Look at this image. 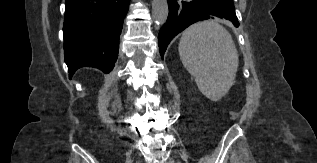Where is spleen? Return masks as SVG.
Masks as SVG:
<instances>
[{
	"mask_svg": "<svg viewBox=\"0 0 317 163\" xmlns=\"http://www.w3.org/2000/svg\"><path fill=\"white\" fill-rule=\"evenodd\" d=\"M179 56L208 99L218 101L232 86L239 58L229 32L214 20L187 28L179 43Z\"/></svg>",
	"mask_w": 317,
	"mask_h": 163,
	"instance_id": "1",
	"label": "spleen"
}]
</instances>
